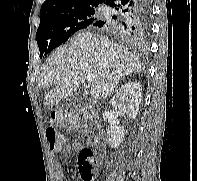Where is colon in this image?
<instances>
[{
    "label": "colon",
    "mask_w": 197,
    "mask_h": 181,
    "mask_svg": "<svg viewBox=\"0 0 197 181\" xmlns=\"http://www.w3.org/2000/svg\"><path fill=\"white\" fill-rule=\"evenodd\" d=\"M50 120L52 123H59L63 126H69L72 128H76L78 125V120L75 115L63 112L53 113ZM45 134L50 149L58 151L61 148L63 138L58 134L56 128L53 125L48 126ZM95 163L96 161L92 150L87 148L80 150L78 154V166L83 181H93Z\"/></svg>",
    "instance_id": "1"
}]
</instances>
